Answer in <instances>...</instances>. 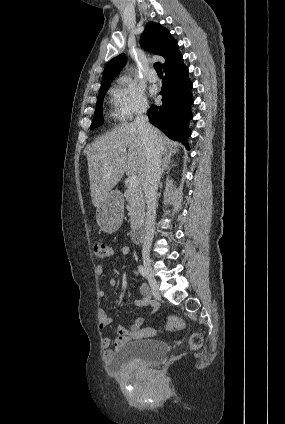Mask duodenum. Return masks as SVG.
Wrapping results in <instances>:
<instances>
[{
    "label": "duodenum",
    "mask_w": 285,
    "mask_h": 424,
    "mask_svg": "<svg viewBox=\"0 0 285 424\" xmlns=\"http://www.w3.org/2000/svg\"><path fill=\"white\" fill-rule=\"evenodd\" d=\"M145 227L138 226L132 231V241L135 244H141L145 239Z\"/></svg>",
    "instance_id": "obj_1"
}]
</instances>
